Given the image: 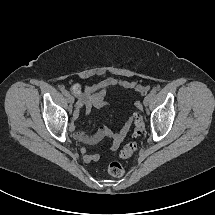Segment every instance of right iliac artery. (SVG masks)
<instances>
[{
    "label": "right iliac artery",
    "instance_id": "1",
    "mask_svg": "<svg viewBox=\"0 0 215 215\" xmlns=\"http://www.w3.org/2000/svg\"><path fill=\"white\" fill-rule=\"evenodd\" d=\"M62 94L64 95V96H68L69 95V93H68V91L67 90H62Z\"/></svg>",
    "mask_w": 215,
    "mask_h": 215
}]
</instances>
